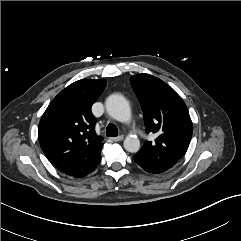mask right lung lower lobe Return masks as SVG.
<instances>
[{
    "mask_svg": "<svg viewBox=\"0 0 241 241\" xmlns=\"http://www.w3.org/2000/svg\"><path fill=\"white\" fill-rule=\"evenodd\" d=\"M97 165H98V164H97ZM97 165H96V166H97ZM96 166H93V167H91V168H89V169H86V170L78 173V174L75 175L74 177H77V178H79V177H84V176H86L87 174H89L90 172H92V171L96 168Z\"/></svg>",
    "mask_w": 241,
    "mask_h": 241,
    "instance_id": "1",
    "label": "right lung lower lobe"
}]
</instances>
